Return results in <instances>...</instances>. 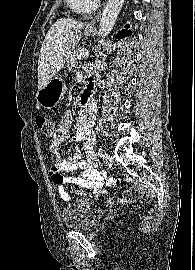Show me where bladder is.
I'll return each mask as SVG.
<instances>
[{
  "label": "bladder",
  "instance_id": "obj_1",
  "mask_svg": "<svg viewBox=\"0 0 195 270\" xmlns=\"http://www.w3.org/2000/svg\"><path fill=\"white\" fill-rule=\"evenodd\" d=\"M64 225L71 230L88 231L99 220V212L88 204H71L61 210Z\"/></svg>",
  "mask_w": 195,
  "mask_h": 270
}]
</instances>
